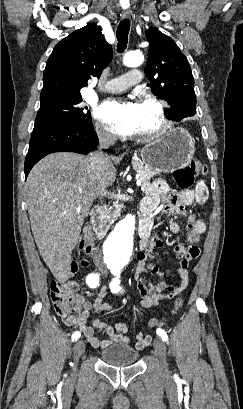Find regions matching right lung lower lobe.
I'll return each instance as SVG.
<instances>
[{"label": "right lung lower lobe", "instance_id": "98d812e1", "mask_svg": "<svg viewBox=\"0 0 243 409\" xmlns=\"http://www.w3.org/2000/svg\"><path fill=\"white\" fill-rule=\"evenodd\" d=\"M98 138L92 123L72 126L67 123L38 119L35 121L29 150L25 159V178L44 156L54 152L86 154L95 149Z\"/></svg>", "mask_w": 243, "mask_h": 409}]
</instances>
